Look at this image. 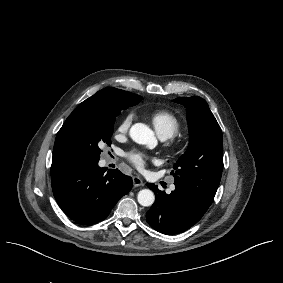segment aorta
Returning a JSON list of instances; mask_svg holds the SVG:
<instances>
[{
    "label": "aorta",
    "instance_id": "aorta-1",
    "mask_svg": "<svg viewBox=\"0 0 283 283\" xmlns=\"http://www.w3.org/2000/svg\"><path fill=\"white\" fill-rule=\"evenodd\" d=\"M130 137L138 144L155 146L154 132L143 123L134 124L129 131ZM138 203L142 206H151L155 201V195L150 189H142L137 195Z\"/></svg>",
    "mask_w": 283,
    "mask_h": 283
}]
</instances>
